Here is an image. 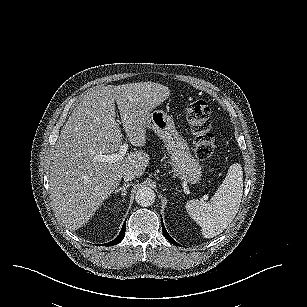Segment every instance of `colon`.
Returning a JSON list of instances; mask_svg holds the SVG:
<instances>
[{
  "instance_id": "colon-1",
  "label": "colon",
  "mask_w": 307,
  "mask_h": 307,
  "mask_svg": "<svg viewBox=\"0 0 307 307\" xmlns=\"http://www.w3.org/2000/svg\"><path fill=\"white\" fill-rule=\"evenodd\" d=\"M186 119L194 135V152L199 160L209 159L215 150L210 123V108L206 101L196 100L186 108Z\"/></svg>"
}]
</instances>
